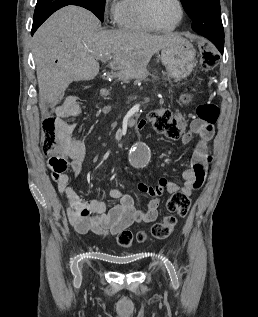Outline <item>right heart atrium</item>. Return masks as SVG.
<instances>
[{"instance_id": "right-heart-atrium-1", "label": "right heart atrium", "mask_w": 258, "mask_h": 317, "mask_svg": "<svg viewBox=\"0 0 258 317\" xmlns=\"http://www.w3.org/2000/svg\"><path fill=\"white\" fill-rule=\"evenodd\" d=\"M105 16L110 23H116L117 3L109 2L104 7Z\"/></svg>"}]
</instances>
